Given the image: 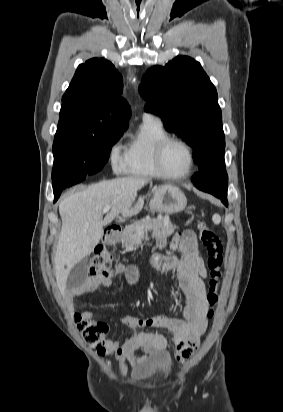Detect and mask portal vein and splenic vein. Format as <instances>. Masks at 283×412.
<instances>
[{"label":"portal vein and splenic vein","mask_w":283,"mask_h":412,"mask_svg":"<svg viewBox=\"0 0 283 412\" xmlns=\"http://www.w3.org/2000/svg\"><path fill=\"white\" fill-rule=\"evenodd\" d=\"M110 209H111V206H106V207H104L102 213L105 214V213L109 212ZM145 230L147 231V230H149V229L146 228Z\"/></svg>","instance_id":"18ae733b"}]
</instances>
